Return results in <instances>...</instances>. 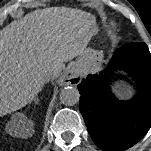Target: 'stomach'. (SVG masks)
<instances>
[{
	"mask_svg": "<svg viewBox=\"0 0 151 151\" xmlns=\"http://www.w3.org/2000/svg\"><path fill=\"white\" fill-rule=\"evenodd\" d=\"M104 56L101 51L88 49L87 53L77 62V67L82 71H95L98 70L103 63Z\"/></svg>",
	"mask_w": 151,
	"mask_h": 151,
	"instance_id": "obj_1",
	"label": "stomach"
}]
</instances>
